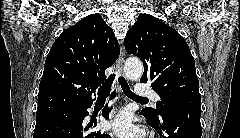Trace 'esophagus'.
<instances>
[{
  "label": "esophagus",
  "instance_id": "obj_1",
  "mask_svg": "<svg viewBox=\"0 0 240 138\" xmlns=\"http://www.w3.org/2000/svg\"><path fill=\"white\" fill-rule=\"evenodd\" d=\"M124 59H125V48L124 45L122 46L120 56L117 60V71L119 76L123 75V66H124ZM119 90H121L120 86L118 85Z\"/></svg>",
  "mask_w": 240,
  "mask_h": 138
}]
</instances>
